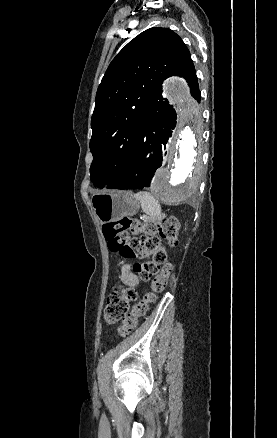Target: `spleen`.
<instances>
[{"instance_id":"1","label":"spleen","mask_w":277,"mask_h":438,"mask_svg":"<svg viewBox=\"0 0 277 438\" xmlns=\"http://www.w3.org/2000/svg\"><path fill=\"white\" fill-rule=\"evenodd\" d=\"M134 198L140 200L141 208L147 216H159L161 214V206L150 192H138Z\"/></svg>"}]
</instances>
